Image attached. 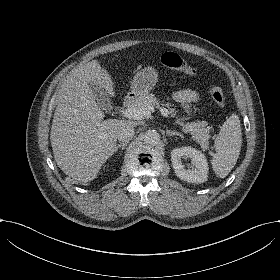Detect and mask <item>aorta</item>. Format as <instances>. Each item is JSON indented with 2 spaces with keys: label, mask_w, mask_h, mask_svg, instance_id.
I'll return each mask as SVG.
<instances>
[{
  "label": "aorta",
  "mask_w": 280,
  "mask_h": 280,
  "mask_svg": "<svg viewBox=\"0 0 280 280\" xmlns=\"http://www.w3.org/2000/svg\"><path fill=\"white\" fill-rule=\"evenodd\" d=\"M144 142L146 144L150 145H156L159 141V134L156 130H148L146 133H144Z\"/></svg>",
  "instance_id": "1"
}]
</instances>
